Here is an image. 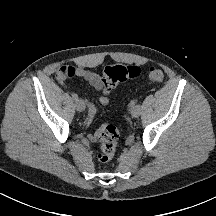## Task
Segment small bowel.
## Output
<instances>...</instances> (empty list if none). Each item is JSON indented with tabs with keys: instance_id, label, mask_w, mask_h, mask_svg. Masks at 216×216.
<instances>
[{
	"instance_id": "small-bowel-1",
	"label": "small bowel",
	"mask_w": 216,
	"mask_h": 216,
	"mask_svg": "<svg viewBox=\"0 0 216 216\" xmlns=\"http://www.w3.org/2000/svg\"><path fill=\"white\" fill-rule=\"evenodd\" d=\"M76 76L82 78L83 80H85L86 82H88L92 87L95 88V90H97L100 94L98 97L99 103L101 105H108L109 104V91L105 90V88L103 87L101 78L99 76V74H97L96 72H93L91 70L79 67L76 68ZM87 107H88V114L87 117L85 119V123L87 126H90L93 122L94 119V115L96 112V107L95 105L90 102L87 101ZM90 139L91 140H95L96 139V132L90 134Z\"/></svg>"
}]
</instances>
